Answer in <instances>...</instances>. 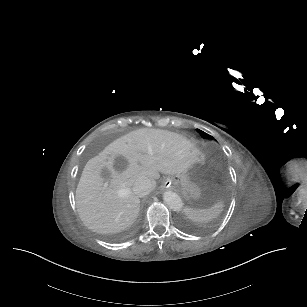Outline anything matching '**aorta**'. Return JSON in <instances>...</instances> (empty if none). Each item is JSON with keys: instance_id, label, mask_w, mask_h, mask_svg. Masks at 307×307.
Returning <instances> with one entry per match:
<instances>
[{"instance_id": "762f6f07", "label": "aorta", "mask_w": 307, "mask_h": 307, "mask_svg": "<svg viewBox=\"0 0 307 307\" xmlns=\"http://www.w3.org/2000/svg\"><path fill=\"white\" fill-rule=\"evenodd\" d=\"M163 200L174 210H179L182 207L181 198L173 191L164 192Z\"/></svg>"}]
</instances>
